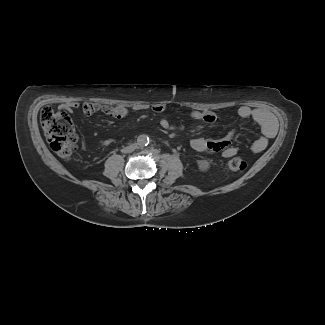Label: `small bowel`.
I'll use <instances>...</instances> for the list:
<instances>
[{"label": "small bowel", "instance_id": "obj_1", "mask_svg": "<svg viewBox=\"0 0 325 325\" xmlns=\"http://www.w3.org/2000/svg\"><path fill=\"white\" fill-rule=\"evenodd\" d=\"M78 103H69L66 105H60L58 107V112L63 122L66 125L74 126L77 123L76 118L69 116L73 109L78 108ZM99 109L97 104L86 102L83 104L84 113L90 115ZM147 106L138 105L134 107L135 111L146 110ZM166 110V105L162 103H157L152 106V111L154 113H163ZM107 112L117 120L125 118L129 114V109L123 105H117L114 107L107 108ZM237 115L240 118L253 119L261 128L262 136L254 140L250 146V150L253 153L262 152L268 145V141L276 133V124L273 117L262 108H251L247 105H242L237 109ZM192 120L197 122H205L208 124L219 123V118L212 112H204L199 110H193L190 113ZM160 127L164 130H182L184 126L175 125L172 121L167 118L160 120ZM235 132L230 131L224 136L217 139H205L201 137L193 138L190 141V146L198 152H208V153H221L225 158L232 157L238 153V148L234 145L235 142Z\"/></svg>", "mask_w": 325, "mask_h": 325}]
</instances>
